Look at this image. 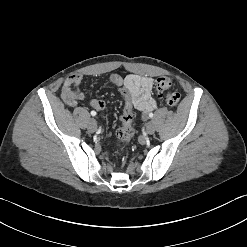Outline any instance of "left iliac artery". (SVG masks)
<instances>
[{
    "label": "left iliac artery",
    "mask_w": 247,
    "mask_h": 247,
    "mask_svg": "<svg viewBox=\"0 0 247 247\" xmlns=\"http://www.w3.org/2000/svg\"><path fill=\"white\" fill-rule=\"evenodd\" d=\"M153 116H154V114H153V113H150V114H149V117H150V118H152Z\"/></svg>",
    "instance_id": "44dca946"
}]
</instances>
